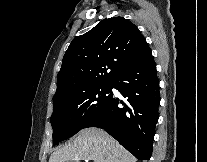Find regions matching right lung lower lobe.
<instances>
[{"mask_svg": "<svg viewBox=\"0 0 207 162\" xmlns=\"http://www.w3.org/2000/svg\"><path fill=\"white\" fill-rule=\"evenodd\" d=\"M127 100L113 97L85 125L105 129L138 160H149L158 121L159 79L153 56L129 67L112 83ZM123 107H119V104Z\"/></svg>", "mask_w": 207, "mask_h": 162, "instance_id": "98d812e1", "label": "right lung lower lobe"}]
</instances>
